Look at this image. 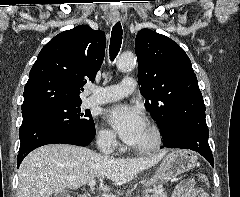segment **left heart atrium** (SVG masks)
Returning a JSON list of instances; mask_svg holds the SVG:
<instances>
[{
	"mask_svg": "<svg viewBox=\"0 0 240 197\" xmlns=\"http://www.w3.org/2000/svg\"><path fill=\"white\" fill-rule=\"evenodd\" d=\"M106 119L121 139L129 145L135 144L146 128V121L141 111L128 104L111 107L106 113Z\"/></svg>",
	"mask_w": 240,
	"mask_h": 197,
	"instance_id": "1",
	"label": "left heart atrium"
}]
</instances>
